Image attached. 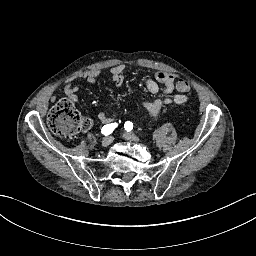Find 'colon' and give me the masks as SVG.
Instances as JSON below:
<instances>
[{
	"label": "colon",
	"instance_id": "5ec220e1",
	"mask_svg": "<svg viewBox=\"0 0 256 256\" xmlns=\"http://www.w3.org/2000/svg\"><path fill=\"white\" fill-rule=\"evenodd\" d=\"M177 87L182 92H188L190 85L186 80H179ZM48 126L57 135L73 137L82 130H87L91 126L88 118L82 117L76 110L74 104L68 100H60L50 111Z\"/></svg>",
	"mask_w": 256,
	"mask_h": 256
}]
</instances>
